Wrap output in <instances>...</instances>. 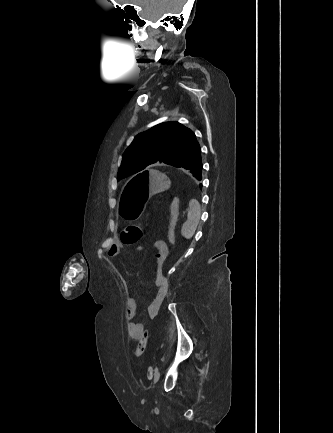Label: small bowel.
<instances>
[{
	"label": "small bowel",
	"mask_w": 333,
	"mask_h": 433,
	"mask_svg": "<svg viewBox=\"0 0 333 433\" xmlns=\"http://www.w3.org/2000/svg\"><path fill=\"white\" fill-rule=\"evenodd\" d=\"M153 247L155 249L156 258V293L150 303L147 306L146 313L148 317L154 318L158 315L161 305L166 298L169 285L162 274V268L168 256V247L163 240H156L153 242ZM138 250L140 247L137 248ZM120 251V246L118 244L111 245L107 250V255L109 258L115 257ZM139 312V307L137 301L134 297H128L125 306V318L128 321L127 332L129 338L133 340H138L145 332V326L142 323H136L133 320L136 318Z\"/></svg>",
	"instance_id": "c3829d8e"
}]
</instances>
